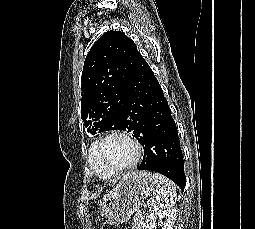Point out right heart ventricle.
Listing matches in <instances>:
<instances>
[{"label":"right heart ventricle","mask_w":255,"mask_h":229,"mask_svg":"<svg viewBox=\"0 0 255 229\" xmlns=\"http://www.w3.org/2000/svg\"><path fill=\"white\" fill-rule=\"evenodd\" d=\"M88 163L93 172L102 179H110L113 176H109L96 162L92 159L91 152L88 153Z\"/></svg>","instance_id":"1"}]
</instances>
